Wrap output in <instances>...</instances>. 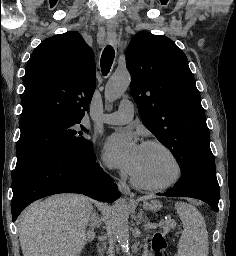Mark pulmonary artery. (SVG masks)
<instances>
[{
	"label": "pulmonary artery",
	"instance_id": "obj_1",
	"mask_svg": "<svg viewBox=\"0 0 236 256\" xmlns=\"http://www.w3.org/2000/svg\"><path fill=\"white\" fill-rule=\"evenodd\" d=\"M133 104L131 101H120V107L117 111L104 115L101 121L107 124L121 125L128 123L134 116Z\"/></svg>",
	"mask_w": 236,
	"mask_h": 256
}]
</instances>
